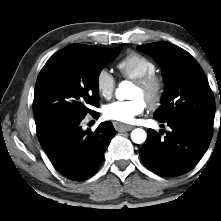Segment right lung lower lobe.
<instances>
[{
	"instance_id": "obj_1",
	"label": "right lung lower lobe",
	"mask_w": 221,
	"mask_h": 221,
	"mask_svg": "<svg viewBox=\"0 0 221 221\" xmlns=\"http://www.w3.org/2000/svg\"><path fill=\"white\" fill-rule=\"evenodd\" d=\"M91 115L99 117L96 112ZM82 119L62 122L39 139L57 171L72 181H83L96 173L116 134L111 122H102L94 132L83 131L80 126Z\"/></svg>"
}]
</instances>
